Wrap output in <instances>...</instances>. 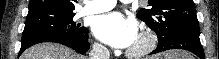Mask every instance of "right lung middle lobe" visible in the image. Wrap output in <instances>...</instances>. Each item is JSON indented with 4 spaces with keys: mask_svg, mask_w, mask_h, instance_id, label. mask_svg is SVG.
I'll list each match as a JSON object with an SVG mask.
<instances>
[{
    "mask_svg": "<svg viewBox=\"0 0 219 59\" xmlns=\"http://www.w3.org/2000/svg\"><path fill=\"white\" fill-rule=\"evenodd\" d=\"M73 12L38 10L28 13L22 34V45L49 37L67 36L86 39L87 29L73 21Z\"/></svg>",
    "mask_w": 219,
    "mask_h": 59,
    "instance_id": "right-lung-middle-lobe-1",
    "label": "right lung middle lobe"
}]
</instances>
